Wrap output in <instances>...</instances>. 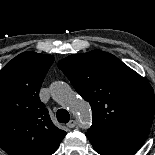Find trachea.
<instances>
[{
    "label": "trachea",
    "instance_id": "1",
    "mask_svg": "<svg viewBox=\"0 0 155 155\" xmlns=\"http://www.w3.org/2000/svg\"><path fill=\"white\" fill-rule=\"evenodd\" d=\"M56 117L60 123H67L70 120V115L65 109H59L56 113Z\"/></svg>",
    "mask_w": 155,
    "mask_h": 155
}]
</instances>
